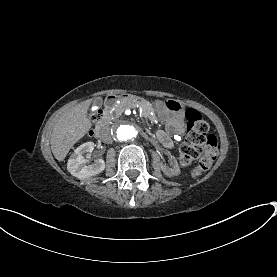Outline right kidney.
Segmentation results:
<instances>
[{
    "label": "right kidney",
    "instance_id": "right-kidney-1",
    "mask_svg": "<svg viewBox=\"0 0 277 277\" xmlns=\"http://www.w3.org/2000/svg\"><path fill=\"white\" fill-rule=\"evenodd\" d=\"M94 144L87 142L79 146L70 156L67 163V170L78 179H87L97 176L105 170V162L99 159L93 164H88L85 155L92 152Z\"/></svg>",
    "mask_w": 277,
    "mask_h": 277
}]
</instances>
